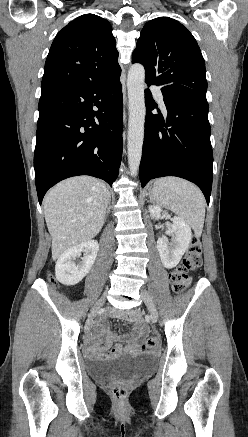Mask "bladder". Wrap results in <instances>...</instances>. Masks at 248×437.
<instances>
[{"label":"bladder","instance_id":"31cf9c89","mask_svg":"<svg viewBox=\"0 0 248 437\" xmlns=\"http://www.w3.org/2000/svg\"><path fill=\"white\" fill-rule=\"evenodd\" d=\"M155 360L153 354L141 353L93 362L89 365L88 371L90 376L97 380H130L151 370Z\"/></svg>","mask_w":248,"mask_h":437}]
</instances>
